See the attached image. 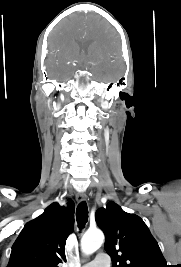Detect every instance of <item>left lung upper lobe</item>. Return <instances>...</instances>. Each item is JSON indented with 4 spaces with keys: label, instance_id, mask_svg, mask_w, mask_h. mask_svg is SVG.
Wrapping results in <instances>:
<instances>
[{
    "label": "left lung upper lobe",
    "instance_id": "5c2ea615",
    "mask_svg": "<svg viewBox=\"0 0 181 267\" xmlns=\"http://www.w3.org/2000/svg\"><path fill=\"white\" fill-rule=\"evenodd\" d=\"M96 222L105 234L113 267H167L158 243L137 215L110 202L96 212Z\"/></svg>",
    "mask_w": 181,
    "mask_h": 267
}]
</instances>
